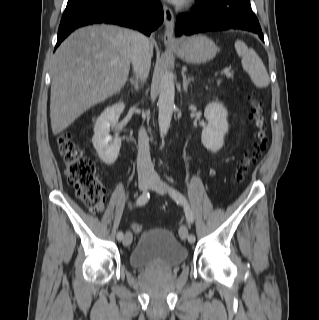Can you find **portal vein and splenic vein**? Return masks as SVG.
<instances>
[{
    "label": "portal vein and splenic vein",
    "mask_w": 319,
    "mask_h": 320,
    "mask_svg": "<svg viewBox=\"0 0 319 320\" xmlns=\"http://www.w3.org/2000/svg\"><path fill=\"white\" fill-rule=\"evenodd\" d=\"M224 73H225L226 77H228V78L233 77V74L230 73L229 70H225Z\"/></svg>",
    "instance_id": "18ae733b"
}]
</instances>
